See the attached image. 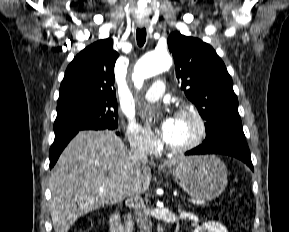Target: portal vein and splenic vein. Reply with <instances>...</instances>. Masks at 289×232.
I'll list each match as a JSON object with an SVG mask.
<instances>
[{"label": "portal vein and splenic vein", "instance_id": "portal-vein-and-splenic-vein-1", "mask_svg": "<svg viewBox=\"0 0 289 232\" xmlns=\"http://www.w3.org/2000/svg\"><path fill=\"white\" fill-rule=\"evenodd\" d=\"M104 187L100 188V191H103ZM190 203L196 204V205H205L206 202L204 200H194V199H189L188 200Z\"/></svg>", "mask_w": 289, "mask_h": 232}]
</instances>
